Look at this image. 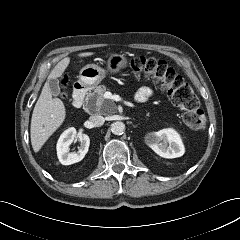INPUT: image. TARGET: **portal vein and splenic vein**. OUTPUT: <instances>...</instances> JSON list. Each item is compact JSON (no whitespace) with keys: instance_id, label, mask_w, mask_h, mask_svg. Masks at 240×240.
<instances>
[{"instance_id":"portal-vein-and-splenic-vein-1","label":"portal vein and splenic vein","mask_w":240,"mask_h":240,"mask_svg":"<svg viewBox=\"0 0 240 240\" xmlns=\"http://www.w3.org/2000/svg\"><path fill=\"white\" fill-rule=\"evenodd\" d=\"M105 96H106V98H108V99H113V100H116V99H117V96H116V95H112L110 92H106V93H105Z\"/></svg>"}]
</instances>
